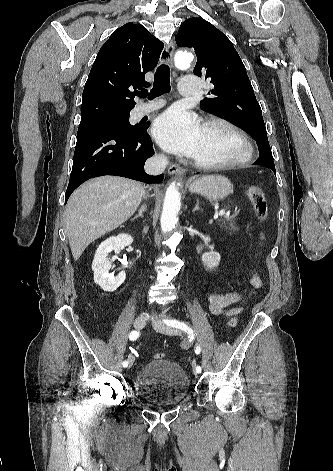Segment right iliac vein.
<instances>
[{"mask_svg":"<svg viewBox=\"0 0 333 471\" xmlns=\"http://www.w3.org/2000/svg\"><path fill=\"white\" fill-rule=\"evenodd\" d=\"M146 321H147L146 316H143V315H142V316L137 317V318L135 319V321H134V327H135V329H137V330L143 329V328L145 327V325H146ZM134 360H135L134 355H133V354H130L129 357H128V363H129L128 366H129V368L133 365Z\"/></svg>","mask_w":333,"mask_h":471,"instance_id":"obj_1","label":"right iliac vein"}]
</instances>
